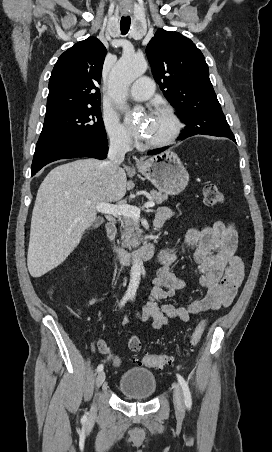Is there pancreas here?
<instances>
[{
    "label": "pancreas",
    "instance_id": "pancreas-1",
    "mask_svg": "<svg viewBox=\"0 0 272 452\" xmlns=\"http://www.w3.org/2000/svg\"><path fill=\"white\" fill-rule=\"evenodd\" d=\"M150 197L151 200L155 201L157 204H162L168 199L167 194L155 190L150 191ZM120 223L121 239L123 241L122 246L127 248L139 246L142 230L140 229L138 222L131 217L123 216L120 219Z\"/></svg>",
    "mask_w": 272,
    "mask_h": 452
}]
</instances>
